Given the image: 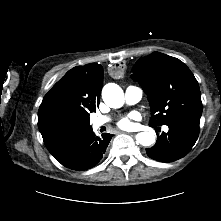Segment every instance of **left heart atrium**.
<instances>
[{"label":"left heart atrium","mask_w":221,"mask_h":221,"mask_svg":"<svg viewBox=\"0 0 221 221\" xmlns=\"http://www.w3.org/2000/svg\"><path fill=\"white\" fill-rule=\"evenodd\" d=\"M140 116L136 112H131L128 115H125L119 118L116 122L117 126L124 130H130L135 127V121L139 120Z\"/></svg>","instance_id":"obj_1"}]
</instances>
